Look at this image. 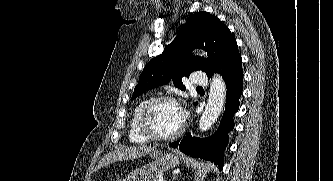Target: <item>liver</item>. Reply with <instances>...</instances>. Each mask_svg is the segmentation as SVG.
Here are the masks:
<instances>
[{
	"label": "liver",
	"instance_id": "liver-1",
	"mask_svg": "<svg viewBox=\"0 0 333 181\" xmlns=\"http://www.w3.org/2000/svg\"><path fill=\"white\" fill-rule=\"evenodd\" d=\"M157 151L156 146H131L119 147L114 151L106 154L95 168V171L100 170L102 167L112 164L117 161L133 160L141 158L147 154H153Z\"/></svg>",
	"mask_w": 333,
	"mask_h": 181
}]
</instances>
